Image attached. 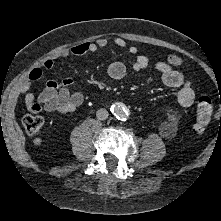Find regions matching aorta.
<instances>
[{"mask_svg": "<svg viewBox=\"0 0 221 221\" xmlns=\"http://www.w3.org/2000/svg\"><path fill=\"white\" fill-rule=\"evenodd\" d=\"M111 110H112L113 114L116 116V118H118L120 120H124L128 116L127 110L119 104L112 105Z\"/></svg>", "mask_w": 221, "mask_h": 221, "instance_id": "1", "label": "aorta"}]
</instances>
